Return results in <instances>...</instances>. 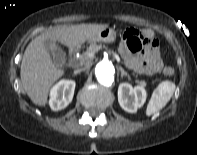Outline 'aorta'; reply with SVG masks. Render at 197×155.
Wrapping results in <instances>:
<instances>
[{
	"mask_svg": "<svg viewBox=\"0 0 197 155\" xmlns=\"http://www.w3.org/2000/svg\"><path fill=\"white\" fill-rule=\"evenodd\" d=\"M95 76L99 83L106 86L110 85L115 76L114 65L107 60L98 62L95 67Z\"/></svg>",
	"mask_w": 197,
	"mask_h": 155,
	"instance_id": "1",
	"label": "aorta"
}]
</instances>
